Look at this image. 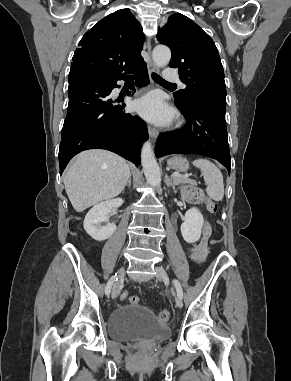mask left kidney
I'll return each mask as SVG.
<instances>
[{
	"mask_svg": "<svg viewBox=\"0 0 291 381\" xmlns=\"http://www.w3.org/2000/svg\"><path fill=\"white\" fill-rule=\"evenodd\" d=\"M184 222L181 225V234L187 243H195L201 237V231L204 223L201 212L193 207L190 208L184 216Z\"/></svg>",
	"mask_w": 291,
	"mask_h": 381,
	"instance_id": "obj_1",
	"label": "left kidney"
}]
</instances>
